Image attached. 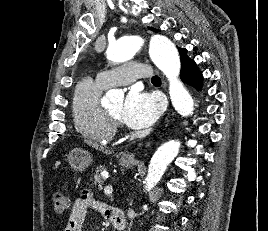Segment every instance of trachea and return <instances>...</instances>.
Here are the masks:
<instances>
[{"mask_svg": "<svg viewBox=\"0 0 268 231\" xmlns=\"http://www.w3.org/2000/svg\"><path fill=\"white\" fill-rule=\"evenodd\" d=\"M152 82H161V79H160V77H158V76H154V77L152 78Z\"/></svg>", "mask_w": 268, "mask_h": 231, "instance_id": "obj_1", "label": "trachea"}]
</instances>
